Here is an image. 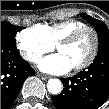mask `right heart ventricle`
Returning <instances> with one entry per match:
<instances>
[{"label":"right heart ventricle","mask_w":109,"mask_h":109,"mask_svg":"<svg viewBox=\"0 0 109 109\" xmlns=\"http://www.w3.org/2000/svg\"><path fill=\"white\" fill-rule=\"evenodd\" d=\"M83 26H86L84 22L71 19L54 24H46L41 27L50 41L53 44H57L69 34Z\"/></svg>","instance_id":"e07e8e85"}]
</instances>
